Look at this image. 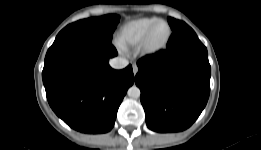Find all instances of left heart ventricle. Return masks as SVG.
Returning <instances> with one entry per match:
<instances>
[{
    "mask_svg": "<svg viewBox=\"0 0 261 150\" xmlns=\"http://www.w3.org/2000/svg\"><path fill=\"white\" fill-rule=\"evenodd\" d=\"M168 34V28L166 24L159 23L153 29L151 37H150V44L152 46H158L164 42Z\"/></svg>",
    "mask_w": 261,
    "mask_h": 150,
    "instance_id": "obj_1",
    "label": "left heart ventricle"
}]
</instances>
